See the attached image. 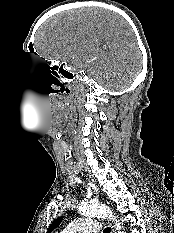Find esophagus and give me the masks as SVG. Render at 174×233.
Instances as JSON below:
<instances>
[{
    "mask_svg": "<svg viewBox=\"0 0 174 233\" xmlns=\"http://www.w3.org/2000/svg\"><path fill=\"white\" fill-rule=\"evenodd\" d=\"M110 227H111V233H114V230H113V227L111 226V224H110Z\"/></svg>",
    "mask_w": 174,
    "mask_h": 233,
    "instance_id": "1",
    "label": "esophagus"
}]
</instances>
